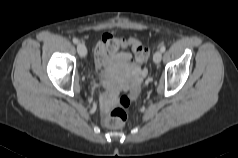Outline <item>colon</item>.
Returning <instances> with one entry per match:
<instances>
[{
    "instance_id": "5ec220e1",
    "label": "colon",
    "mask_w": 238,
    "mask_h": 158,
    "mask_svg": "<svg viewBox=\"0 0 238 158\" xmlns=\"http://www.w3.org/2000/svg\"><path fill=\"white\" fill-rule=\"evenodd\" d=\"M115 47L119 50H125L130 48L137 60V62L144 64L147 62L149 57V52L146 47L142 45V43L133 38L129 39H118L115 43ZM131 104V97L124 93L120 95L117 107L113 109L109 115H107L104 119V123L107 127L112 129H118L124 126L127 119V108Z\"/></svg>"
}]
</instances>
